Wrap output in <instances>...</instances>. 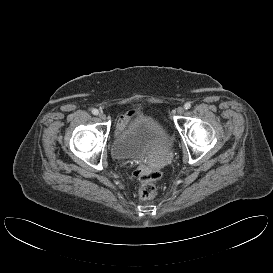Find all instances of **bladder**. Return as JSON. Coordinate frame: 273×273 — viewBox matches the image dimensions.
Segmentation results:
<instances>
[{"label": "bladder", "mask_w": 273, "mask_h": 273, "mask_svg": "<svg viewBox=\"0 0 273 273\" xmlns=\"http://www.w3.org/2000/svg\"><path fill=\"white\" fill-rule=\"evenodd\" d=\"M170 140L167 130L157 119L139 114L118 132L110 149L115 159H138L147 156L152 146Z\"/></svg>", "instance_id": "obj_1"}]
</instances>
